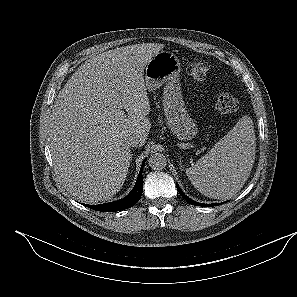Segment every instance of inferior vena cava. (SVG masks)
Instances as JSON below:
<instances>
[{
    "label": "inferior vena cava",
    "mask_w": 297,
    "mask_h": 297,
    "mask_svg": "<svg viewBox=\"0 0 297 297\" xmlns=\"http://www.w3.org/2000/svg\"><path fill=\"white\" fill-rule=\"evenodd\" d=\"M140 140L138 138V136L136 135H130L126 138V144L128 147H135L137 145H139Z\"/></svg>",
    "instance_id": "obj_1"
}]
</instances>
